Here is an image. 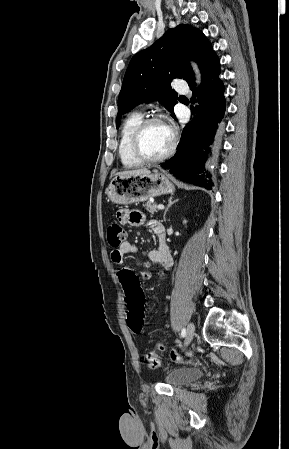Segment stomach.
<instances>
[{"instance_id": "obj_1", "label": "stomach", "mask_w": 289, "mask_h": 449, "mask_svg": "<svg viewBox=\"0 0 289 449\" xmlns=\"http://www.w3.org/2000/svg\"><path fill=\"white\" fill-rule=\"evenodd\" d=\"M174 191L175 186L168 175L154 171L142 175H117L111 180L106 194L115 204L129 205Z\"/></svg>"}]
</instances>
